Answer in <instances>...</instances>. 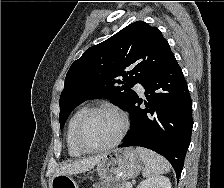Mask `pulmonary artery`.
I'll use <instances>...</instances> for the list:
<instances>
[{
	"label": "pulmonary artery",
	"instance_id": "obj_1",
	"mask_svg": "<svg viewBox=\"0 0 224 188\" xmlns=\"http://www.w3.org/2000/svg\"><path fill=\"white\" fill-rule=\"evenodd\" d=\"M135 87L141 94L144 93V88L141 84H136Z\"/></svg>",
	"mask_w": 224,
	"mask_h": 188
}]
</instances>
